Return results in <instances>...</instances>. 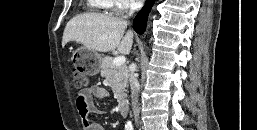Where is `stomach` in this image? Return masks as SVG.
<instances>
[{
    "mask_svg": "<svg viewBox=\"0 0 257 130\" xmlns=\"http://www.w3.org/2000/svg\"><path fill=\"white\" fill-rule=\"evenodd\" d=\"M73 58L78 64H80L83 73L86 75H96L101 68V55L89 48H78L74 52Z\"/></svg>",
    "mask_w": 257,
    "mask_h": 130,
    "instance_id": "0dacf381",
    "label": "stomach"
}]
</instances>
